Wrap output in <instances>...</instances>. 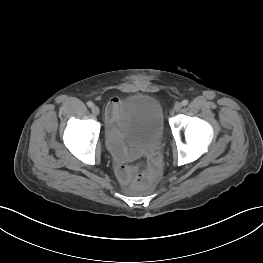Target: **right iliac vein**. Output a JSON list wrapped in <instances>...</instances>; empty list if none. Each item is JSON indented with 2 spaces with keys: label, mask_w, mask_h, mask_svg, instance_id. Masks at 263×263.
<instances>
[{
  "label": "right iliac vein",
  "mask_w": 263,
  "mask_h": 263,
  "mask_svg": "<svg viewBox=\"0 0 263 263\" xmlns=\"http://www.w3.org/2000/svg\"><path fill=\"white\" fill-rule=\"evenodd\" d=\"M92 112H93L94 115H99V113H100L99 107L98 106H93L92 107Z\"/></svg>",
  "instance_id": "1"
}]
</instances>
